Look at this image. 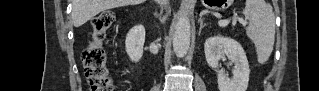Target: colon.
<instances>
[{"mask_svg":"<svg viewBox=\"0 0 319 91\" xmlns=\"http://www.w3.org/2000/svg\"><path fill=\"white\" fill-rule=\"evenodd\" d=\"M114 22L112 12H102L91 24V39L83 51V65L92 91H115L116 87L107 65L103 40Z\"/></svg>","mask_w":319,"mask_h":91,"instance_id":"obj_1","label":"colon"}]
</instances>
